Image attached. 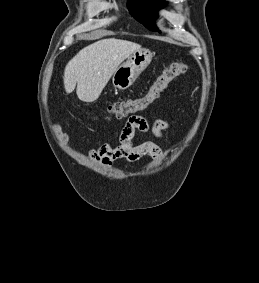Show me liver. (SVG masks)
Masks as SVG:
<instances>
[{"instance_id": "1", "label": "liver", "mask_w": 259, "mask_h": 283, "mask_svg": "<svg viewBox=\"0 0 259 283\" xmlns=\"http://www.w3.org/2000/svg\"><path fill=\"white\" fill-rule=\"evenodd\" d=\"M139 49L137 43L115 38L83 48L65 67V91L71 93L77 84L76 93L81 101H96L119 65Z\"/></svg>"}]
</instances>
